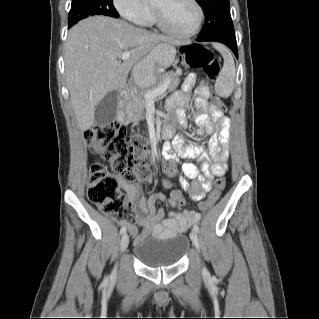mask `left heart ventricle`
<instances>
[{"mask_svg":"<svg viewBox=\"0 0 319 319\" xmlns=\"http://www.w3.org/2000/svg\"><path fill=\"white\" fill-rule=\"evenodd\" d=\"M152 5L162 11L167 25L178 32H189L196 23L197 11L189 0H153Z\"/></svg>","mask_w":319,"mask_h":319,"instance_id":"left-heart-ventricle-1","label":"left heart ventricle"}]
</instances>
